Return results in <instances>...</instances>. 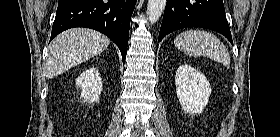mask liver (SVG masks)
Returning <instances> with one entry per match:
<instances>
[{
    "label": "liver",
    "instance_id": "obj_1",
    "mask_svg": "<svg viewBox=\"0 0 280 137\" xmlns=\"http://www.w3.org/2000/svg\"><path fill=\"white\" fill-rule=\"evenodd\" d=\"M109 44L108 37L91 29L75 28L59 34L49 46L46 77L53 78L100 54Z\"/></svg>",
    "mask_w": 280,
    "mask_h": 137
}]
</instances>
